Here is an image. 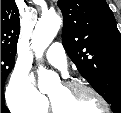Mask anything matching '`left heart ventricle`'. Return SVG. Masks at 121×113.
Returning <instances> with one entry per match:
<instances>
[{
  "instance_id": "left-heart-ventricle-1",
  "label": "left heart ventricle",
  "mask_w": 121,
  "mask_h": 113,
  "mask_svg": "<svg viewBox=\"0 0 121 113\" xmlns=\"http://www.w3.org/2000/svg\"><path fill=\"white\" fill-rule=\"evenodd\" d=\"M49 97L54 102L60 113L89 112L103 113V104L91 93H73L65 89L61 84L56 85L49 92Z\"/></svg>"
}]
</instances>
